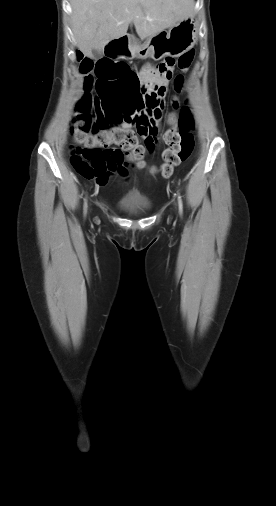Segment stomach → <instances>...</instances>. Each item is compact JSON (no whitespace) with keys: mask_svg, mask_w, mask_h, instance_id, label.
Instances as JSON below:
<instances>
[{"mask_svg":"<svg viewBox=\"0 0 276 506\" xmlns=\"http://www.w3.org/2000/svg\"><path fill=\"white\" fill-rule=\"evenodd\" d=\"M197 27L193 15L179 21L168 31L162 30L137 47L136 53L142 59L155 61L165 56L178 57L191 49L196 43Z\"/></svg>","mask_w":276,"mask_h":506,"instance_id":"0dacf381","label":"stomach"}]
</instances>
